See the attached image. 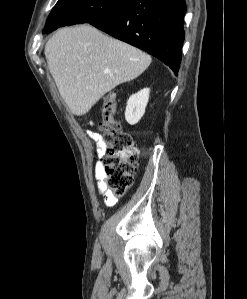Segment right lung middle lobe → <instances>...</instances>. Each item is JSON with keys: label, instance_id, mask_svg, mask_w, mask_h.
I'll return each instance as SVG.
<instances>
[{"label": "right lung middle lobe", "instance_id": "right-lung-middle-lobe-1", "mask_svg": "<svg viewBox=\"0 0 247 299\" xmlns=\"http://www.w3.org/2000/svg\"><path fill=\"white\" fill-rule=\"evenodd\" d=\"M130 0H58L48 16L44 33L65 25L90 23L124 7Z\"/></svg>", "mask_w": 247, "mask_h": 299}]
</instances>
